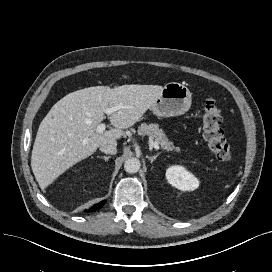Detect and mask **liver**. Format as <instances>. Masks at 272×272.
Instances as JSON below:
<instances>
[{
  "instance_id": "6515ba94",
  "label": "liver",
  "mask_w": 272,
  "mask_h": 272,
  "mask_svg": "<svg viewBox=\"0 0 272 272\" xmlns=\"http://www.w3.org/2000/svg\"><path fill=\"white\" fill-rule=\"evenodd\" d=\"M163 90L158 85L88 87L59 100L40 123L31 167L41 189L105 143H116L154 104ZM120 106L109 120L115 128L97 132L105 109ZM86 141V144L83 142Z\"/></svg>"
}]
</instances>
